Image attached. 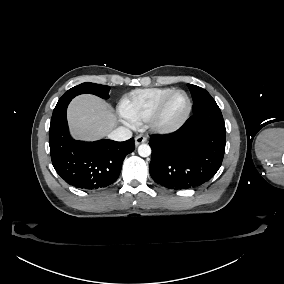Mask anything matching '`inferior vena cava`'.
I'll return each mask as SVG.
<instances>
[{"label":"inferior vena cava","mask_w":284,"mask_h":284,"mask_svg":"<svg viewBox=\"0 0 284 284\" xmlns=\"http://www.w3.org/2000/svg\"><path fill=\"white\" fill-rule=\"evenodd\" d=\"M108 137L115 141H125L132 137V132L126 127H118L113 130Z\"/></svg>","instance_id":"obj_1"}]
</instances>
